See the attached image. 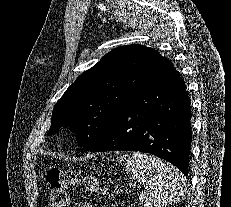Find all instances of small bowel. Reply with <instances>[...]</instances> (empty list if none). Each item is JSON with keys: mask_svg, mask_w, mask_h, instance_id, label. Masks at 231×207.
I'll return each instance as SVG.
<instances>
[{"mask_svg": "<svg viewBox=\"0 0 231 207\" xmlns=\"http://www.w3.org/2000/svg\"><path fill=\"white\" fill-rule=\"evenodd\" d=\"M78 207H92V206H90L89 204H86V203H82Z\"/></svg>", "mask_w": 231, "mask_h": 207, "instance_id": "small-bowel-1", "label": "small bowel"}]
</instances>
